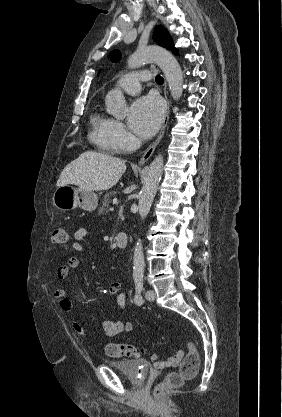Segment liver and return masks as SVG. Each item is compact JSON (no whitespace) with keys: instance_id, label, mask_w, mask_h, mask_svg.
Masks as SVG:
<instances>
[{"instance_id":"6515ba94","label":"liver","mask_w":282,"mask_h":417,"mask_svg":"<svg viewBox=\"0 0 282 417\" xmlns=\"http://www.w3.org/2000/svg\"><path fill=\"white\" fill-rule=\"evenodd\" d=\"M126 170L125 160L86 150L63 168L56 186L77 184L83 190H108Z\"/></svg>"}]
</instances>
